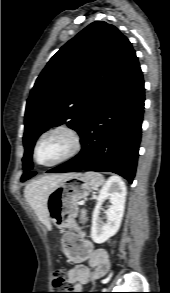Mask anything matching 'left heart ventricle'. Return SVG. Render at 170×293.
Masks as SVG:
<instances>
[{
    "label": "left heart ventricle",
    "instance_id": "1",
    "mask_svg": "<svg viewBox=\"0 0 170 293\" xmlns=\"http://www.w3.org/2000/svg\"><path fill=\"white\" fill-rule=\"evenodd\" d=\"M71 137L64 131L48 135L39 145L37 158L42 163H51L66 155L71 149Z\"/></svg>",
    "mask_w": 170,
    "mask_h": 293
}]
</instances>
